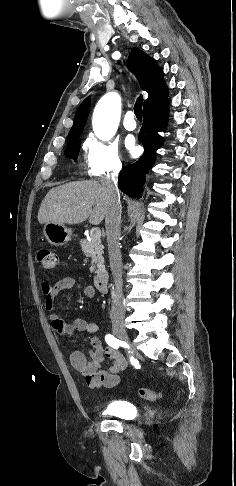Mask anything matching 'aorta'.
Returning a JSON list of instances; mask_svg holds the SVG:
<instances>
[{
    "label": "aorta",
    "mask_w": 236,
    "mask_h": 486,
    "mask_svg": "<svg viewBox=\"0 0 236 486\" xmlns=\"http://www.w3.org/2000/svg\"><path fill=\"white\" fill-rule=\"evenodd\" d=\"M120 119V97L117 93H108L95 107L93 131L104 141L110 140L118 127Z\"/></svg>",
    "instance_id": "1"
}]
</instances>
